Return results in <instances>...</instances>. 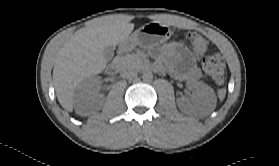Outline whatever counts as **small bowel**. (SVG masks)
<instances>
[{
  "mask_svg": "<svg viewBox=\"0 0 279 166\" xmlns=\"http://www.w3.org/2000/svg\"><path fill=\"white\" fill-rule=\"evenodd\" d=\"M157 56L163 61L156 63V69L167 67L173 74L188 79H195L199 76L194 57L178 41L167 43L157 52ZM172 61L177 62L179 66H174Z\"/></svg>",
  "mask_w": 279,
  "mask_h": 166,
  "instance_id": "obj_1",
  "label": "small bowel"
}]
</instances>
